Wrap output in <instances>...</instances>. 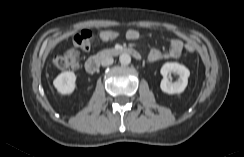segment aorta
<instances>
[{"mask_svg":"<svg viewBox=\"0 0 244 157\" xmlns=\"http://www.w3.org/2000/svg\"><path fill=\"white\" fill-rule=\"evenodd\" d=\"M119 61H120V63H121L122 65H128V64H130V62H131V57H130L129 54H127V53H123V54L120 55V57H119Z\"/></svg>","mask_w":244,"mask_h":157,"instance_id":"1","label":"aorta"}]
</instances>
